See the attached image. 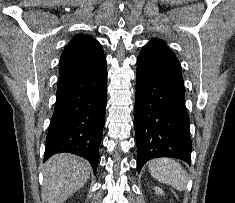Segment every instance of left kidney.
Wrapping results in <instances>:
<instances>
[{"mask_svg":"<svg viewBox=\"0 0 235 203\" xmlns=\"http://www.w3.org/2000/svg\"><path fill=\"white\" fill-rule=\"evenodd\" d=\"M154 190H155L156 194L164 195L163 190L161 188L156 186V187H154Z\"/></svg>","mask_w":235,"mask_h":203,"instance_id":"left-kidney-1","label":"left kidney"}]
</instances>
